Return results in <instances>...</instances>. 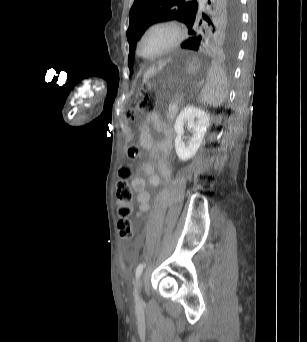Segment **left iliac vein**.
I'll return each instance as SVG.
<instances>
[{
	"mask_svg": "<svg viewBox=\"0 0 307 342\" xmlns=\"http://www.w3.org/2000/svg\"><path fill=\"white\" fill-rule=\"evenodd\" d=\"M137 287H138V289L140 290V288L142 287V280H140V281L137 283Z\"/></svg>",
	"mask_w": 307,
	"mask_h": 342,
	"instance_id": "left-iliac-vein-1",
	"label": "left iliac vein"
}]
</instances>
